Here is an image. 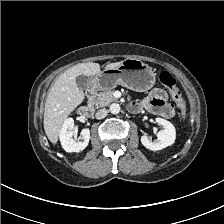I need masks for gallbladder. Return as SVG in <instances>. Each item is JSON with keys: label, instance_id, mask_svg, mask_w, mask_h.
I'll return each mask as SVG.
<instances>
[{"label": "gallbladder", "instance_id": "1", "mask_svg": "<svg viewBox=\"0 0 224 224\" xmlns=\"http://www.w3.org/2000/svg\"><path fill=\"white\" fill-rule=\"evenodd\" d=\"M75 80H76V85L80 90L84 91L87 89V86L89 84V78L87 76L79 75L76 77Z\"/></svg>", "mask_w": 224, "mask_h": 224}]
</instances>
